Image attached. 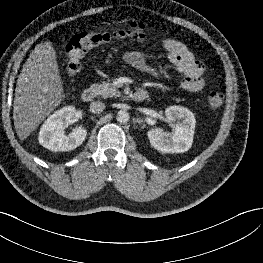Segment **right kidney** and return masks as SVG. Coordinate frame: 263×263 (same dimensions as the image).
Masks as SVG:
<instances>
[{"label": "right kidney", "instance_id": "right-kidney-1", "mask_svg": "<svg viewBox=\"0 0 263 263\" xmlns=\"http://www.w3.org/2000/svg\"><path fill=\"white\" fill-rule=\"evenodd\" d=\"M75 112V107L66 106L48 117L40 129L39 143L54 152L71 151L80 146L86 138V129L77 128L69 135L64 134L65 124L74 117Z\"/></svg>", "mask_w": 263, "mask_h": 263}]
</instances>
